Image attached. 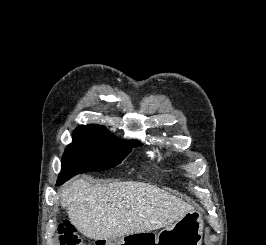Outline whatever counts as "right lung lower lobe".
<instances>
[{"instance_id": "98d812e1", "label": "right lung lower lobe", "mask_w": 266, "mask_h": 245, "mask_svg": "<svg viewBox=\"0 0 266 245\" xmlns=\"http://www.w3.org/2000/svg\"><path fill=\"white\" fill-rule=\"evenodd\" d=\"M60 184H62V183H60V182L58 181L57 185H60Z\"/></svg>"}]
</instances>
